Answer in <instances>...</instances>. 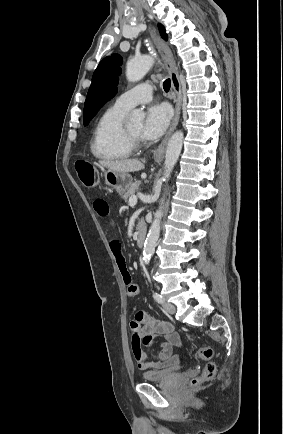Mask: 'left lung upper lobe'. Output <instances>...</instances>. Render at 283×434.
<instances>
[{
	"mask_svg": "<svg viewBox=\"0 0 283 434\" xmlns=\"http://www.w3.org/2000/svg\"><path fill=\"white\" fill-rule=\"evenodd\" d=\"M158 28L162 38L166 40L165 28L161 24H158ZM121 64L122 58L118 54L105 57L99 63L92 76V83L84 105V125H87L100 108L117 93Z\"/></svg>",
	"mask_w": 283,
	"mask_h": 434,
	"instance_id": "1",
	"label": "left lung upper lobe"
}]
</instances>
